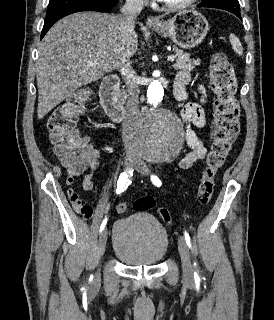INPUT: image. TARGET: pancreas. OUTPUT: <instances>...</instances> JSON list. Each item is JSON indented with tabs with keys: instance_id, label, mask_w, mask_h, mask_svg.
Listing matches in <instances>:
<instances>
[{
	"instance_id": "cf45deb5",
	"label": "pancreas",
	"mask_w": 274,
	"mask_h": 320,
	"mask_svg": "<svg viewBox=\"0 0 274 320\" xmlns=\"http://www.w3.org/2000/svg\"><path fill=\"white\" fill-rule=\"evenodd\" d=\"M174 52L176 56L175 70H193L195 66H198L199 60H191L190 54H185L183 50H178V48H174ZM119 98L121 102H125L126 94H120Z\"/></svg>"
}]
</instances>
